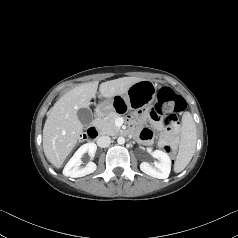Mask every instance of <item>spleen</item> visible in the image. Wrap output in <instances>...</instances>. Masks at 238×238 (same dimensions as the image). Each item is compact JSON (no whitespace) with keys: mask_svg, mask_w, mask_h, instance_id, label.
<instances>
[{"mask_svg":"<svg viewBox=\"0 0 238 238\" xmlns=\"http://www.w3.org/2000/svg\"><path fill=\"white\" fill-rule=\"evenodd\" d=\"M197 141L196 126L192 115L185 112L182 117V135L176 157L174 171L181 172L191 161Z\"/></svg>","mask_w":238,"mask_h":238,"instance_id":"1","label":"spleen"}]
</instances>
